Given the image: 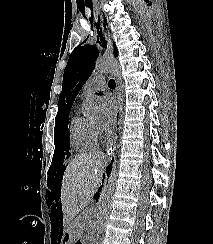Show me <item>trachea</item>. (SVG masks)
Wrapping results in <instances>:
<instances>
[{
    "label": "trachea",
    "mask_w": 213,
    "mask_h": 244,
    "mask_svg": "<svg viewBox=\"0 0 213 244\" xmlns=\"http://www.w3.org/2000/svg\"><path fill=\"white\" fill-rule=\"evenodd\" d=\"M109 87L110 88H115L116 84H115V81L113 79H111L108 83Z\"/></svg>",
    "instance_id": "1"
}]
</instances>
